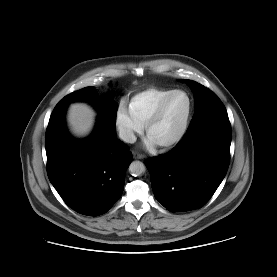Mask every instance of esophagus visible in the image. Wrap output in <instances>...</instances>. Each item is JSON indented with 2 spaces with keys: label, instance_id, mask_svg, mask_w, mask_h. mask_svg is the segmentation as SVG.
<instances>
[{
  "label": "esophagus",
  "instance_id": "obj_1",
  "mask_svg": "<svg viewBox=\"0 0 277 277\" xmlns=\"http://www.w3.org/2000/svg\"><path fill=\"white\" fill-rule=\"evenodd\" d=\"M133 157H134L135 159H144V158H145V155L140 154V153H134V154H133Z\"/></svg>",
  "mask_w": 277,
  "mask_h": 277
}]
</instances>
